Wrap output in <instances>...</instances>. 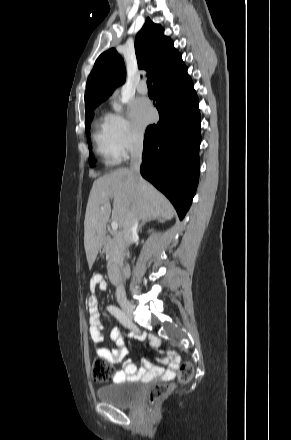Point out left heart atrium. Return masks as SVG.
I'll return each instance as SVG.
<instances>
[{
	"mask_svg": "<svg viewBox=\"0 0 291 440\" xmlns=\"http://www.w3.org/2000/svg\"><path fill=\"white\" fill-rule=\"evenodd\" d=\"M131 117L136 127L142 129L153 120L154 111L147 101L139 99L131 106Z\"/></svg>",
	"mask_w": 291,
	"mask_h": 440,
	"instance_id": "39dd6f15",
	"label": "left heart atrium"
}]
</instances>
